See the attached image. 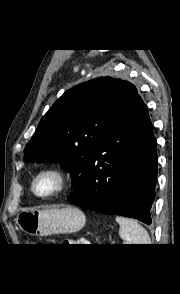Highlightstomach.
<instances>
[{
	"instance_id": "obj_1",
	"label": "stomach",
	"mask_w": 180,
	"mask_h": 294,
	"mask_svg": "<svg viewBox=\"0 0 180 294\" xmlns=\"http://www.w3.org/2000/svg\"><path fill=\"white\" fill-rule=\"evenodd\" d=\"M16 224L32 236L70 234L79 231L85 224L84 213L75 207L22 211Z\"/></svg>"
}]
</instances>
